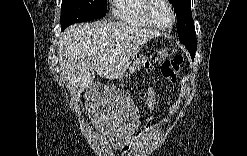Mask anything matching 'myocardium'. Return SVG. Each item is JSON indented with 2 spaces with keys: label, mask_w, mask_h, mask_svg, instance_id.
Wrapping results in <instances>:
<instances>
[{
  "label": "myocardium",
  "mask_w": 247,
  "mask_h": 156,
  "mask_svg": "<svg viewBox=\"0 0 247 156\" xmlns=\"http://www.w3.org/2000/svg\"><path fill=\"white\" fill-rule=\"evenodd\" d=\"M159 1L164 2L169 7V9L171 11L172 21L167 26L159 25L158 23H156L154 21V19L152 17L153 7H154L155 3L159 2ZM145 16H146L147 20L149 21V23L152 25V27L159 29V30H168V29L172 28L176 22V14H175L174 8H173L171 2H169L168 0H148L145 4Z\"/></svg>",
  "instance_id": "f54148a6"
}]
</instances>
